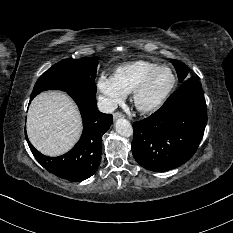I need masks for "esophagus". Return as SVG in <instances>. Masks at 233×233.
I'll use <instances>...</instances> for the list:
<instances>
[{
    "instance_id": "34e87169",
    "label": "esophagus",
    "mask_w": 233,
    "mask_h": 233,
    "mask_svg": "<svg viewBox=\"0 0 233 233\" xmlns=\"http://www.w3.org/2000/svg\"><path fill=\"white\" fill-rule=\"evenodd\" d=\"M123 117H124V114L121 113V112H115V113H113V119L114 120H117V119L123 118Z\"/></svg>"
}]
</instances>
